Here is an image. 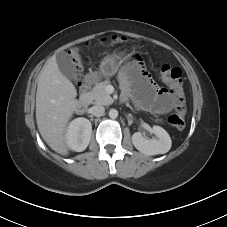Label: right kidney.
<instances>
[{
  "label": "right kidney",
  "mask_w": 227,
  "mask_h": 227,
  "mask_svg": "<svg viewBox=\"0 0 227 227\" xmlns=\"http://www.w3.org/2000/svg\"><path fill=\"white\" fill-rule=\"evenodd\" d=\"M92 134L91 122L83 117H79L70 122L67 132L66 141L68 147L76 152L84 151L89 145Z\"/></svg>",
  "instance_id": "right-kidney-1"
}]
</instances>
